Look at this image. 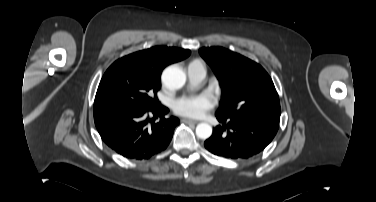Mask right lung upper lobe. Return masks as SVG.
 <instances>
[{"label": "right lung upper lobe", "instance_id": "cb5924a9", "mask_svg": "<svg viewBox=\"0 0 376 202\" xmlns=\"http://www.w3.org/2000/svg\"><path fill=\"white\" fill-rule=\"evenodd\" d=\"M190 55V50L155 46L150 49L138 51L128 57L146 68L152 75L159 76L165 66L181 61Z\"/></svg>", "mask_w": 376, "mask_h": 202}]
</instances>
